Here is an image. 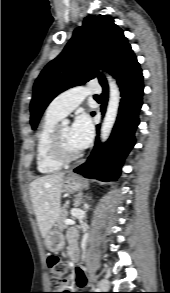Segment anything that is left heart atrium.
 Masks as SVG:
<instances>
[{"mask_svg": "<svg viewBox=\"0 0 170 293\" xmlns=\"http://www.w3.org/2000/svg\"><path fill=\"white\" fill-rule=\"evenodd\" d=\"M69 129L71 141L77 149L88 146L93 136V127L87 116L78 117Z\"/></svg>", "mask_w": 170, "mask_h": 293, "instance_id": "39dd6f15", "label": "left heart atrium"}]
</instances>
